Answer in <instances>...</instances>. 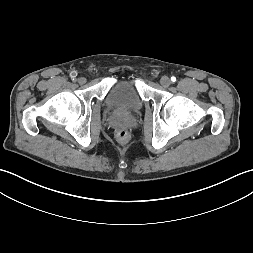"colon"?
Instances as JSON below:
<instances>
[{
    "label": "colon",
    "instance_id": "1",
    "mask_svg": "<svg viewBox=\"0 0 253 253\" xmlns=\"http://www.w3.org/2000/svg\"><path fill=\"white\" fill-rule=\"evenodd\" d=\"M130 138L128 131L121 129L117 132V139L121 142H126Z\"/></svg>",
    "mask_w": 253,
    "mask_h": 253
}]
</instances>
